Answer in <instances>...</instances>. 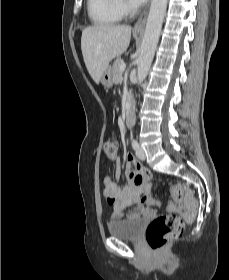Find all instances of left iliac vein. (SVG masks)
Instances as JSON below:
<instances>
[{"mask_svg":"<svg viewBox=\"0 0 229 280\" xmlns=\"http://www.w3.org/2000/svg\"><path fill=\"white\" fill-rule=\"evenodd\" d=\"M136 155L140 160L146 159L144 149L141 146H138V148L136 149Z\"/></svg>","mask_w":229,"mask_h":280,"instance_id":"left-iliac-vein-1","label":"left iliac vein"}]
</instances>
